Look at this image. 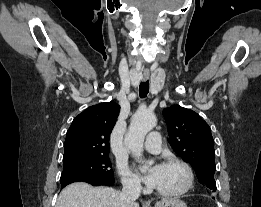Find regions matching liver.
<instances>
[{
  "mask_svg": "<svg viewBox=\"0 0 261 207\" xmlns=\"http://www.w3.org/2000/svg\"><path fill=\"white\" fill-rule=\"evenodd\" d=\"M120 194L110 187H92L84 182H75L61 191L56 207H139L134 201L124 202Z\"/></svg>",
  "mask_w": 261,
  "mask_h": 207,
  "instance_id": "1",
  "label": "liver"
}]
</instances>
